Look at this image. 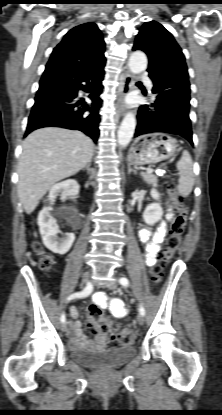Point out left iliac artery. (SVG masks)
Returning <instances> with one entry per match:
<instances>
[{
	"instance_id": "obj_1",
	"label": "left iliac artery",
	"mask_w": 222,
	"mask_h": 415,
	"mask_svg": "<svg viewBox=\"0 0 222 415\" xmlns=\"http://www.w3.org/2000/svg\"><path fill=\"white\" fill-rule=\"evenodd\" d=\"M120 284L124 287H127L129 285V280L126 277H122L119 280ZM139 313L144 316L145 315V309L142 305L139 306Z\"/></svg>"
}]
</instances>
